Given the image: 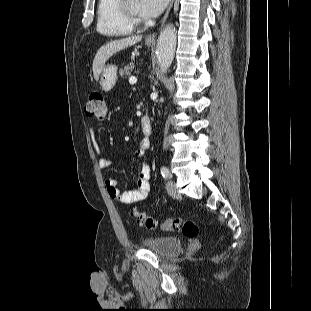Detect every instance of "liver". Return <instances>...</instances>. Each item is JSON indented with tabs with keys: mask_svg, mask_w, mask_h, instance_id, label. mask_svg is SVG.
Instances as JSON below:
<instances>
[{
	"mask_svg": "<svg viewBox=\"0 0 311 311\" xmlns=\"http://www.w3.org/2000/svg\"><path fill=\"white\" fill-rule=\"evenodd\" d=\"M142 40V36L133 35L130 37L118 39L103 45L96 53L93 60V76L96 81H98L100 73L106 63V61L113 56V54L130 47Z\"/></svg>",
	"mask_w": 311,
	"mask_h": 311,
	"instance_id": "6515ba94",
	"label": "liver"
}]
</instances>
